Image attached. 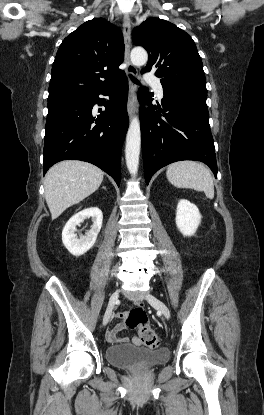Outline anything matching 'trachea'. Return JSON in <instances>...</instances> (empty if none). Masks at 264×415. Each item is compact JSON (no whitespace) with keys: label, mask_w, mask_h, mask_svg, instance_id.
<instances>
[{"label":"trachea","mask_w":264,"mask_h":415,"mask_svg":"<svg viewBox=\"0 0 264 415\" xmlns=\"http://www.w3.org/2000/svg\"><path fill=\"white\" fill-rule=\"evenodd\" d=\"M131 80L134 82V83H136V84H139L140 82L135 78V77H133V76H131Z\"/></svg>","instance_id":"obj_1"}]
</instances>
